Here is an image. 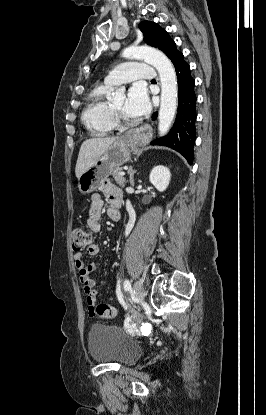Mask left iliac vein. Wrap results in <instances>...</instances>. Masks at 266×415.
Instances as JSON below:
<instances>
[{
    "label": "left iliac vein",
    "mask_w": 266,
    "mask_h": 415,
    "mask_svg": "<svg viewBox=\"0 0 266 415\" xmlns=\"http://www.w3.org/2000/svg\"><path fill=\"white\" fill-rule=\"evenodd\" d=\"M133 289H134V293H135L137 299L140 300V301L144 300V298L146 296V293H145L143 284L140 281H136L134 283Z\"/></svg>",
    "instance_id": "left-iliac-vein-1"
}]
</instances>
